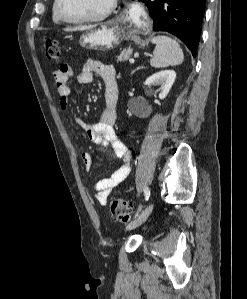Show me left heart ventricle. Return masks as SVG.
Instances as JSON below:
<instances>
[{
	"label": "left heart ventricle",
	"instance_id": "b2bd125f",
	"mask_svg": "<svg viewBox=\"0 0 247 299\" xmlns=\"http://www.w3.org/2000/svg\"><path fill=\"white\" fill-rule=\"evenodd\" d=\"M111 0H61V9L69 18L95 16L104 11Z\"/></svg>",
	"mask_w": 247,
	"mask_h": 299
}]
</instances>
